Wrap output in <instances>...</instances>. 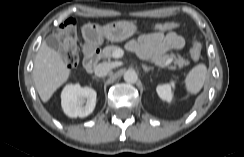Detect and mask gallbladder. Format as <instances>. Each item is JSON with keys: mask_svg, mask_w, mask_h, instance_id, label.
Instances as JSON below:
<instances>
[{"mask_svg": "<svg viewBox=\"0 0 244 157\" xmlns=\"http://www.w3.org/2000/svg\"><path fill=\"white\" fill-rule=\"evenodd\" d=\"M45 42L52 49L60 48V40L55 36L49 35L46 38Z\"/></svg>", "mask_w": 244, "mask_h": 157, "instance_id": "gallbladder-1", "label": "gallbladder"}]
</instances>
